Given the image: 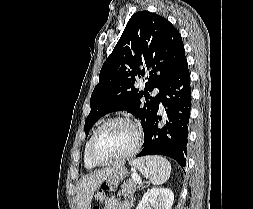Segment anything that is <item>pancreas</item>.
I'll use <instances>...</instances> for the list:
<instances>
[{"mask_svg":"<svg viewBox=\"0 0 253 209\" xmlns=\"http://www.w3.org/2000/svg\"><path fill=\"white\" fill-rule=\"evenodd\" d=\"M136 192V182L132 180H127L122 185V190L119 192V196H123L124 198H133L134 193Z\"/></svg>","mask_w":253,"mask_h":209,"instance_id":"obj_1","label":"pancreas"}]
</instances>
